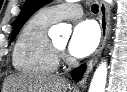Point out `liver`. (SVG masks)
<instances>
[{
    "label": "liver",
    "mask_w": 127,
    "mask_h": 92,
    "mask_svg": "<svg viewBox=\"0 0 127 92\" xmlns=\"http://www.w3.org/2000/svg\"><path fill=\"white\" fill-rule=\"evenodd\" d=\"M65 78L46 75H10L4 81V92H67Z\"/></svg>",
    "instance_id": "1"
}]
</instances>
